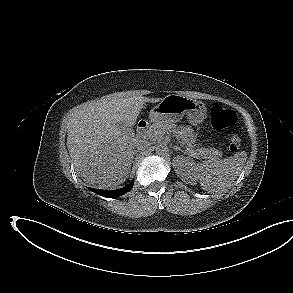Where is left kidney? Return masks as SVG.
Returning a JSON list of instances; mask_svg holds the SVG:
<instances>
[{"label":"left kidney","mask_w":293,"mask_h":293,"mask_svg":"<svg viewBox=\"0 0 293 293\" xmlns=\"http://www.w3.org/2000/svg\"><path fill=\"white\" fill-rule=\"evenodd\" d=\"M173 167L183 182L191 183L194 181L198 165L190 157L176 156L173 159Z\"/></svg>","instance_id":"left-kidney-1"}]
</instances>
